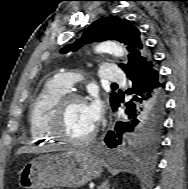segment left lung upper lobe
<instances>
[{
    "label": "left lung upper lobe",
    "mask_w": 188,
    "mask_h": 189,
    "mask_svg": "<svg viewBox=\"0 0 188 189\" xmlns=\"http://www.w3.org/2000/svg\"><path fill=\"white\" fill-rule=\"evenodd\" d=\"M110 39L118 40L127 46L129 63L119 65L124 72L143 61L151 60V56L141 39L140 31L130 22L118 17H107L96 20L89 26L80 40H77L72 45H66L60 50V53L76 51L85 43ZM110 95L111 106H113L118 101V95L115 92ZM161 126L160 124L150 129H136L129 135L128 143L131 146L146 144L153 148L158 143Z\"/></svg>",
    "instance_id": "1"
}]
</instances>
